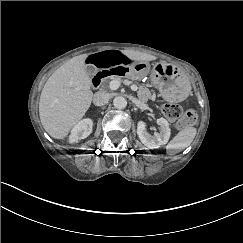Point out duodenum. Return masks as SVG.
I'll return each mask as SVG.
<instances>
[{"mask_svg": "<svg viewBox=\"0 0 243 243\" xmlns=\"http://www.w3.org/2000/svg\"><path fill=\"white\" fill-rule=\"evenodd\" d=\"M133 72L134 68L130 65L104 69L94 75L92 85L96 88L106 78H128L133 74Z\"/></svg>", "mask_w": 243, "mask_h": 243, "instance_id": "duodenum-1", "label": "duodenum"}]
</instances>
